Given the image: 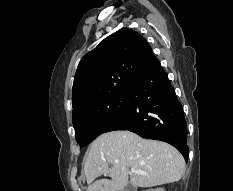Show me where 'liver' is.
I'll list each match as a JSON object with an SVG mask.
<instances>
[{
    "label": "liver",
    "mask_w": 233,
    "mask_h": 191,
    "mask_svg": "<svg viewBox=\"0 0 233 191\" xmlns=\"http://www.w3.org/2000/svg\"><path fill=\"white\" fill-rule=\"evenodd\" d=\"M129 168L147 175L132 174L134 187L149 188L181 179L185 160L173 146L117 130L101 134L89 147L84 172L88 191H123L129 183ZM101 175L111 179L95 181Z\"/></svg>",
    "instance_id": "obj_1"
}]
</instances>
